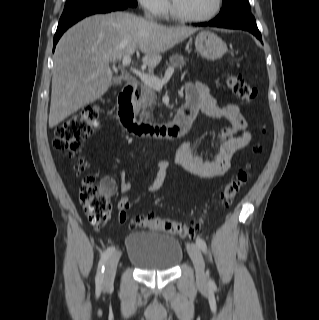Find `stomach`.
<instances>
[{
    "instance_id": "stomach-1",
    "label": "stomach",
    "mask_w": 319,
    "mask_h": 320,
    "mask_svg": "<svg viewBox=\"0 0 319 320\" xmlns=\"http://www.w3.org/2000/svg\"><path fill=\"white\" fill-rule=\"evenodd\" d=\"M195 47L203 58L211 61L220 59L227 51L226 43L209 30H203L196 36Z\"/></svg>"
}]
</instances>
